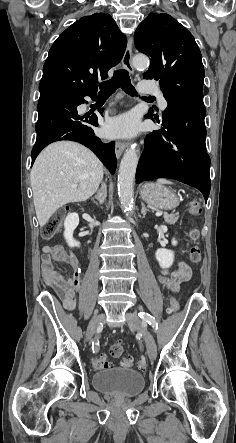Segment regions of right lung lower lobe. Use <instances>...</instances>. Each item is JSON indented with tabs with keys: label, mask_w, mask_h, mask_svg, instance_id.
<instances>
[{
	"label": "right lung lower lobe",
	"mask_w": 236,
	"mask_h": 443,
	"mask_svg": "<svg viewBox=\"0 0 236 443\" xmlns=\"http://www.w3.org/2000/svg\"><path fill=\"white\" fill-rule=\"evenodd\" d=\"M97 92V91H96ZM96 92L72 94L65 91L40 93L38 102L37 139L32 149V164L40 151L48 144L60 141H77L91 149L102 163L114 174L116 168L115 143H102L94 135L90 125L98 126L97 116H80L77 106L84 103V97L96 98ZM99 112L102 114L103 109ZM90 124V125H89Z\"/></svg>",
	"instance_id": "98d812e1"
}]
</instances>
